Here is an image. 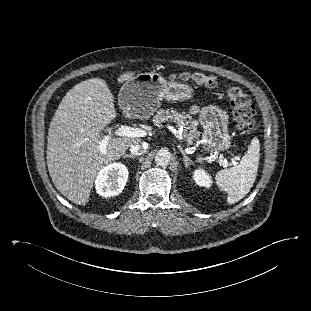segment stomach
<instances>
[{
	"label": "stomach",
	"mask_w": 311,
	"mask_h": 311,
	"mask_svg": "<svg viewBox=\"0 0 311 311\" xmlns=\"http://www.w3.org/2000/svg\"><path fill=\"white\" fill-rule=\"evenodd\" d=\"M194 89L184 83L167 82L158 73H141L125 82L118 94V104L124 114L147 119L160 107L162 99L168 102L192 98ZM203 127V142L199 146V162L214 154L228 150L232 137L228 131L229 116L218 106L205 107L199 115Z\"/></svg>",
	"instance_id": "1"
}]
</instances>
